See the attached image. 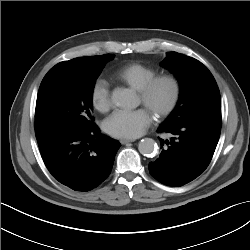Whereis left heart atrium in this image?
<instances>
[{
    "label": "left heart atrium",
    "instance_id": "39dd6f15",
    "mask_svg": "<svg viewBox=\"0 0 250 250\" xmlns=\"http://www.w3.org/2000/svg\"><path fill=\"white\" fill-rule=\"evenodd\" d=\"M152 113L146 107L135 110H117L105 121V130L112 136L135 139L144 134L152 122Z\"/></svg>",
    "mask_w": 250,
    "mask_h": 250
}]
</instances>
